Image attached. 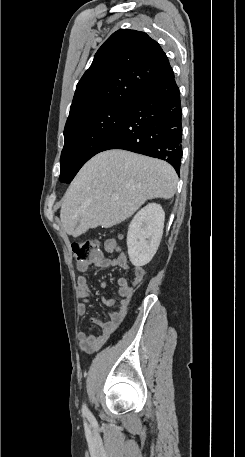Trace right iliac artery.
I'll list each match as a JSON object with an SVG mask.
<instances>
[{
    "mask_svg": "<svg viewBox=\"0 0 245 457\" xmlns=\"http://www.w3.org/2000/svg\"><path fill=\"white\" fill-rule=\"evenodd\" d=\"M82 412L85 416L88 417V419H90L92 421L93 424L95 423V421L93 420V417H92L90 411L87 409L86 405L83 406Z\"/></svg>",
    "mask_w": 245,
    "mask_h": 457,
    "instance_id": "82829eb1",
    "label": "right iliac artery"
}]
</instances>
